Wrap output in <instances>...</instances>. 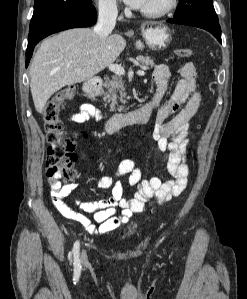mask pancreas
Returning <instances> with one entry per match:
<instances>
[{
    "label": "pancreas",
    "mask_w": 247,
    "mask_h": 299,
    "mask_svg": "<svg viewBox=\"0 0 247 299\" xmlns=\"http://www.w3.org/2000/svg\"><path fill=\"white\" fill-rule=\"evenodd\" d=\"M138 63L148 69L149 67H154V61L150 57H144L139 55L137 58ZM103 89L101 90L104 97V101L111 102V111H115V106L118 104V101L121 103H125L123 98L126 96L125 87L123 79L120 75H115L111 79H107L103 84ZM119 93V95H118ZM126 107H118V111L122 112L125 111Z\"/></svg>",
    "instance_id": "cf45deb5"
}]
</instances>
